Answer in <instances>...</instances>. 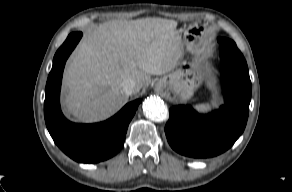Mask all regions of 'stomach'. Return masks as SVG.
<instances>
[{"label": "stomach", "mask_w": 292, "mask_h": 192, "mask_svg": "<svg viewBox=\"0 0 292 192\" xmlns=\"http://www.w3.org/2000/svg\"><path fill=\"white\" fill-rule=\"evenodd\" d=\"M183 41L186 51L198 60L181 62L176 71L163 76L156 83L155 89L168 97L187 100L203 81L204 69L201 60L206 54V45L199 27L187 29L184 32Z\"/></svg>", "instance_id": "stomach-1"}]
</instances>
